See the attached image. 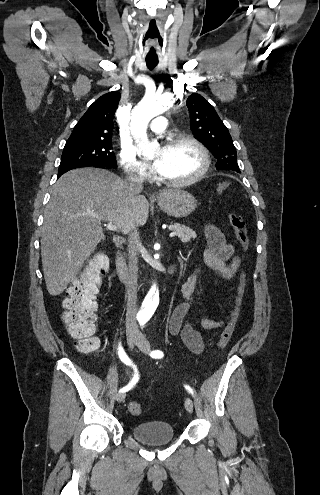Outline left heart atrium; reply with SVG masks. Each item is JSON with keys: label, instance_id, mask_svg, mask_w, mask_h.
Wrapping results in <instances>:
<instances>
[{"label": "left heart atrium", "instance_id": "left-heart-atrium-1", "mask_svg": "<svg viewBox=\"0 0 320 495\" xmlns=\"http://www.w3.org/2000/svg\"><path fill=\"white\" fill-rule=\"evenodd\" d=\"M162 166H163L162 161L158 160V161H156V162H155V164H154V169H155L157 172L161 173V172H162Z\"/></svg>", "mask_w": 320, "mask_h": 495}]
</instances>
